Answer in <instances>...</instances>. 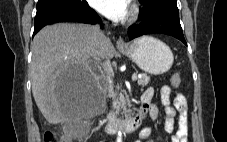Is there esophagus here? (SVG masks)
I'll return each instance as SVG.
<instances>
[{"mask_svg": "<svg viewBox=\"0 0 227 142\" xmlns=\"http://www.w3.org/2000/svg\"><path fill=\"white\" fill-rule=\"evenodd\" d=\"M116 46L117 48L122 49V48H126L128 45L122 38H119L116 41Z\"/></svg>", "mask_w": 227, "mask_h": 142, "instance_id": "1", "label": "esophagus"}]
</instances>
